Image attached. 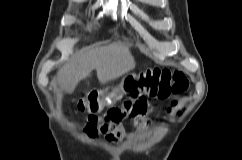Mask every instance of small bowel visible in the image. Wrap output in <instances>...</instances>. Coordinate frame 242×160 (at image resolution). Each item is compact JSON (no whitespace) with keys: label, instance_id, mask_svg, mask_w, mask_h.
I'll return each mask as SVG.
<instances>
[{"label":"small bowel","instance_id":"obj_1","mask_svg":"<svg viewBox=\"0 0 242 160\" xmlns=\"http://www.w3.org/2000/svg\"><path fill=\"white\" fill-rule=\"evenodd\" d=\"M121 112H122V118H121L122 120L126 116V113L124 112L123 107H121ZM134 119L137 125H144L146 123L145 117L134 118ZM103 133L107 141L111 143H116L120 140V138L123 135V127L120 124V122H117L114 124L113 123L106 124L103 128Z\"/></svg>","mask_w":242,"mask_h":160}]
</instances>
